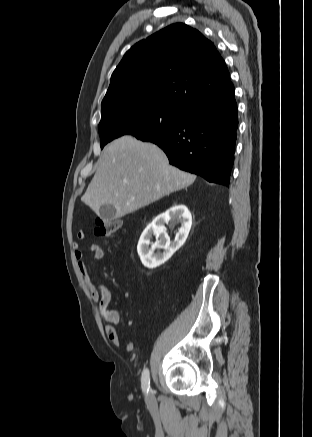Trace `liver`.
Returning <instances> with one entry per match:
<instances>
[{
  "mask_svg": "<svg viewBox=\"0 0 312 437\" xmlns=\"http://www.w3.org/2000/svg\"><path fill=\"white\" fill-rule=\"evenodd\" d=\"M195 179V175L171 166L158 146L127 135L104 148L81 200L96 214L102 205L110 204L116 210L115 218H120L191 185Z\"/></svg>",
  "mask_w": 312,
  "mask_h": 437,
  "instance_id": "obj_1",
  "label": "liver"
}]
</instances>
